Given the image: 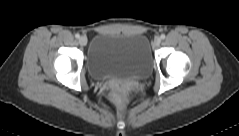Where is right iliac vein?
<instances>
[{
	"instance_id": "63e3f726",
	"label": "right iliac vein",
	"mask_w": 239,
	"mask_h": 136,
	"mask_svg": "<svg viewBox=\"0 0 239 136\" xmlns=\"http://www.w3.org/2000/svg\"><path fill=\"white\" fill-rule=\"evenodd\" d=\"M79 43L81 46H85L87 44V38L82 36L79 38Z\"/></svg>"
}]
</instances>
